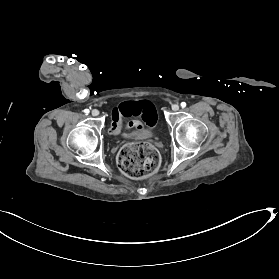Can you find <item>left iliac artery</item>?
Instances as JSON below:
<instances>
[{
  "label": "left iliac artery",
  "mask_w": 279,
  "mask_h": 279,
  "mask_svg": "<svg viewBox=\"0 0 279 279\" xmlns=\"http://www.w3.org/2000/svg\"><path fill=\"white\" fill-rule=\"evenodd\" d=\"M181 107H183V108L186 107V103H185V102H182V103H181Z\"/></svg>",
  "instance_id": "left-iliac-artery-1"
}]
</instances>
